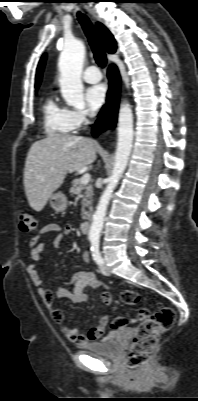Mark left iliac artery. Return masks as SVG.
Segmentation results:
<instances>
[{
	"mask_svg": "<svg viewBox=\"0 0 198 401\" xmlns=\"http://www.w3.org/2000/svg\"><path fill=\"white\" fill-rule=\"evenodd\" d=\"M91 252L93 259L95 262L100 265L103 263V259L101 257L100 251H99V240L98 239H92L91 240Z\"/></svg>",
	"mask_w": 198,
	"mask_h": 401,
	"instance_id": "44dca946",
	"label": "left iliac artery"
}]
</instances>
